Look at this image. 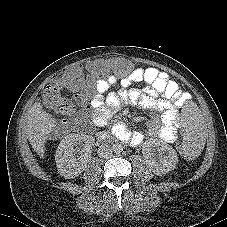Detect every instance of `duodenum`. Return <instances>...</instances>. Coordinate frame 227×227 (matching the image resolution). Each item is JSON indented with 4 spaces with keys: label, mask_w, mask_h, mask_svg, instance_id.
I'll use <instances>...</instances> for the list:
<instances>
[{
    "label": "duodenum",
    "mask_w": 227,
    "mask_h": 227,
    "mask_svg": "<svg viewBox=\"0 0 227 227\" xmlns=\"http://www.w3.org/2000/svg\"><path fill=\"white\" fill-rule=\"evenodd\" d=\"M99 138H100V139H106V138H107V136L100 135V136H99Z\"/></svg>",
    "instance_id": "1"
}]
</instances>
